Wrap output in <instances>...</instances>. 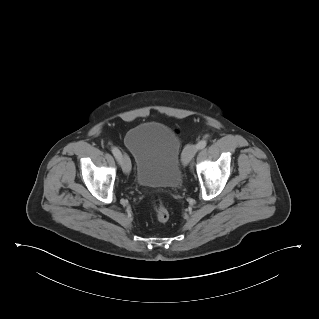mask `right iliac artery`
I'll use <instances>...</instances> for the list:
<instances>
[{"instance_id":"1","label":"right iliac artery","mask_w":319,"mask_h":319,"mask_svg":"<svg viewBox=\"0 0 319 319\" xmlns=\"http://www.w3.org/2000/svg\"><path fill=\"white\" fill-rule=\"evenodd\" d=\"M111 151H112L113 155L115 156V158L117 159V161L120 162L121 161V155H122L120 150L118 148H116V147H112Z\"/></svg>"}]
</instances>
